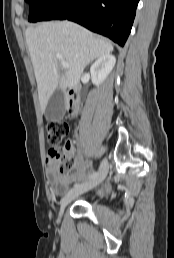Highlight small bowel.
Returning a JSON list of instances; mask_svg holds the SVG:
<instances>
[{"label": "small bowel", "instance_id": "1", "mask_svg": "<svg viewBox=\"0 0 174 258\" xmlns=\"http://www.w3.org/2000/svg\"><path fill=\"white\" fill-rule=\"evenodd\" d=\"M89 169L83 157H78L75 165V173L67 178H60L56 171L52 161L48 164L47 176L48 182L52 192L56 195H62L66 192L69 183L83 178Z\"/></svg>", "mask_w": 174, "mask_h": 258}]
</instances>
